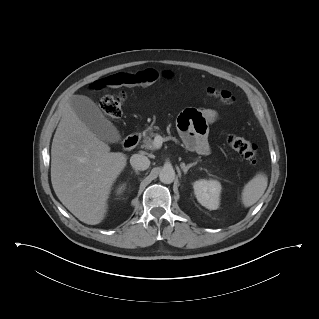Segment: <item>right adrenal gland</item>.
I'll return each mask as SVG.
<instances>
[{"label":"right adrenal gland","instance_id":"1","mask_svg":"<svg viewBox=\"0 0 319 319\" xmlns=\"http://www.w3.org/2000/svg\"><path fill=\"white\" fill-rule=\"evenodd\" d=\"M135 171V173L137 174V175H139V172L137 171V170H134Z\"/></svg>","mask_w":319,"mask_h":319}]
</instances>
